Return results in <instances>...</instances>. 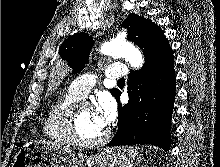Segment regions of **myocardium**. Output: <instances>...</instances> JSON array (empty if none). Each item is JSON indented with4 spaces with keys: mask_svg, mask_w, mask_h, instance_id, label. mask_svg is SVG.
<instances>
[{
    "mask_svg": "<svg viewBox=\"0 0 220 167\" xmlns=\"http://www.w3.org/2000/svg\"><path fill=\"white\" fill-rule=\"evenodd\" d=\"M81 108H91V105L87 101L77 100L67 109L62 122L66 137L71 144L81 148H94L104 145L110 137V130L108 129L105 130L100 138L92 141L83 140L78 136L76 123L77 115Z\"/></svg>",
    "mask_w": 220,
    "mask_h": 167,
    "instance_id": "obj_1",
    "label": "myocardium"
}]
</instances>
